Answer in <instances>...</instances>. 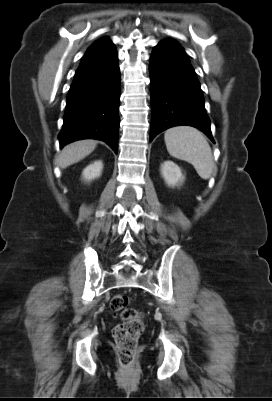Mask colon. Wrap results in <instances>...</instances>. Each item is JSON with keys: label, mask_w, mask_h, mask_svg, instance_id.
Listing matches in <instances>:
<instances>
[{"label": "colon", "mask_w": 272, "mask_h": 401, "mask_svg": "<svg viewBox=\"0 0 272 401\" xmlns=\"http://www.w3.org/2000/svg\"><path fill=\"white\" fill-rule=\"evenodd\" d=\"M127 306L128 298L123 294L115 295L110 302L112 311L120 313L123 320L114 328L113 337L120 363L125 367L131 366L134 362L138 340L144 328L143 314Z\"/></svg>", "instance_id": "colon-1"}]
</instances>
